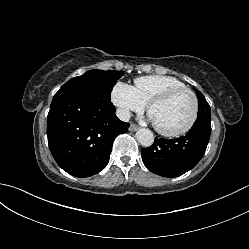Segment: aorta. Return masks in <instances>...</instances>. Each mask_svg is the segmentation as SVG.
Here are the masks:
<instances>
[{"instance_id": "aorta-1", "label": "aorta", "mask_w": 249, "mask_h": 249, "mask_svg": "<svg viewBox=\"0 0 249 249\" xmlns=\"http://www.w3.org/2000/svg\"><path fill=\"white\" fill-rule=\"evenodd\" d=\"M137 141L144 147H149L154 142V135L151 130L141 128L136 132Z\"/></svg>"}]
</instances>
